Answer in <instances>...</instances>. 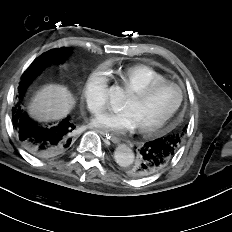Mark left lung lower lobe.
Listing matches in <instances>:
<instances>
[{"label": "left lung lower lobe", "instance_id": "0a47b994", "mask_svg": "<svg viewBox=\"0 0 232 232\" xmlns=\"http://www.w3.org/2000/svg\"><path fill=\"white\" fill-rule=\"evenodd\" d=\"M174 155L175 150L160 138L146 142L139 150L137 163L131 165L130 173L134 178L153 175L163 169Z\"/></svg>", "mask_w": 232, "mask_h": 232}]
</instances>
